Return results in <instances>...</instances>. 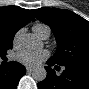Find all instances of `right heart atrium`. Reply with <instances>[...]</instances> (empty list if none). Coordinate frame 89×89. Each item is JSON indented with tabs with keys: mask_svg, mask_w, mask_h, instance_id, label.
Here are the masks:
<instances>
[{
	"mask_svg": "<svg viewBox=\"0 0 89 89\" xmlns=\"http://www.w3.org/2000/svg\"><path fill=\"white\" fill-rule=\"evenodd\" d=\"M20 38V33L16 34L15 38H14V43H18Z\"/></svg>",
	"mask_w": 89,
	"mask_h": 89,
	"instance_id": "1",
	"label": "right heart atrium"
}]
</instances>
